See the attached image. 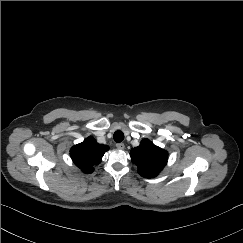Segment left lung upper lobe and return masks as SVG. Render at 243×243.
Masks as SVG:
<instances>
[{
	"label": "left lung upper lobe",
	"instance_id": "obj_1",
	"mask_svg": "<svg viewBox=\"0 0 243 243\" xmlns=\"http://www.w3.org/2000/svg\"><path fill=\"white\" fill-rule=\"evenodd\" d=\"M130 156L141 176L153 178L167 164L168 152L155 146L149 139H143L138 147L130 151Z\"/></svg>",
	"mask_w": 243,
	"mask_h": 243
}]
</instances>
